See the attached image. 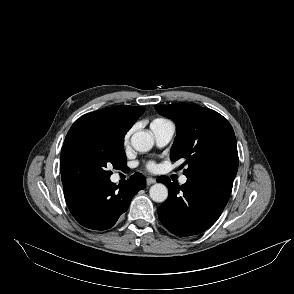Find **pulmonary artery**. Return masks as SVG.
<instances>
[{
    "label": "pulmonary artery",
    "instance_id": "e3ab8cb5",
    "mask_svg": "<svg viewBox=\"0 0 294 294\" xmlns=\"http://www.w3.org/2000/svg\"><path fill=\"white\" fill-rule=\"evenodd\" d=\"M151 130L157 145L163 147L172 140L175 132V126L172 122L169 121L163 125L154 127ZM179 182L181 184H185L187 182V177L182 175L179 179Z\"/></svg>",
    "mask_w": 294,
    "mask_h": 294
}]
</instances>
